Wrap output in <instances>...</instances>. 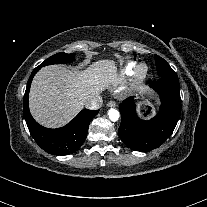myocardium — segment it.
<instances>
[{
  "label": "myocardium",
  "instance_id": "f54148a6",
  "mask_svg": "<svg viewBox=\"0 0 207 207\" xmlns=\"http://www.w3.org/2000/svg\"><path fill=\"white\" fill-rule=\"evenodd\" d=\"M133 73H134L133 75L134 83L140 84L145 80L148 74V67L144 63H139L134 66Z\"/></svg>",
  "mask_w": 207,
  "mask_h": 207
}]
</instances>
